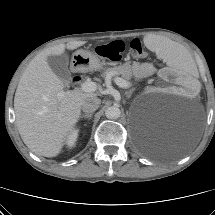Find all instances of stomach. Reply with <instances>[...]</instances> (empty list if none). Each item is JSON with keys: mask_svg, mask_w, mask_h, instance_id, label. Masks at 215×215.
<instances>
[{"mask_svg": "<svg viewBox=\"0 0 215 215\" xmlns=\"http://www.w3.org/2000/svg\"><path fill=\"white\" fill-rule=\"evenodd\" d=\"M71 64L77 71H96L102 69L100 59L94 53L83 49L74 53Z\"/></svg>", "mask_w": 215, "mask_h": 215, "instance_id": "stomach-1", "label": "stomach"}]
</instances>
